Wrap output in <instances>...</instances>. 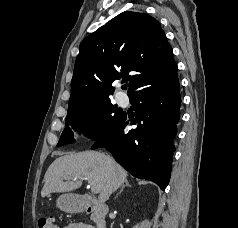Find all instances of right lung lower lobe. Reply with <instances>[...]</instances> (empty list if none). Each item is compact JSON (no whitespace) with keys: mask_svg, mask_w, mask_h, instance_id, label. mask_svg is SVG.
<instances>
[{"mask_svg":"<svg viewBox=\"0 0 238 228\" xmlns=\"http://www.w3.org/2000/svg\"><path fill=\"white\" fill-rule=\"evenodd\" d=\"M177 75L170 80L144 88L130 97L136 106V129L128 130L123 116L93 145L106 147L115 160L137 178L155 182L162 190L170 180L176 123L181 97Z\"/></svg>","mask_w":238,"mask_h":228,"instance_id":"1","label":"right lung lower lobe"}]
</instances>
